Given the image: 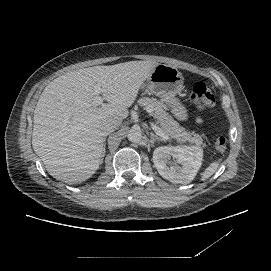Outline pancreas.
Segmentation results:
<instances>
[{
	"label": "pancreas",
	"instance_id": "1",
	"mask_svg": "<svg viewBox=\"0 0 271 271\" xmlns=\"http://www.w3.org/2000/svg\"><path fill=\"white\" fill-rule=\"evenodd\" d=\"M139 105L144 107L146 110H151L154 118L157 119L158 125L163 132L173 137L176 141L182 140L183 143L190 142L197 145H202V147L207 148V144L200 134L185 132L177 122L164 111L165 106L156 99L152 98H142L139 101Z\"/></svg>",
	"mask_w": 271,
	"mask_h": 271
}]
</instances>
